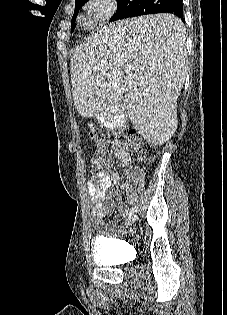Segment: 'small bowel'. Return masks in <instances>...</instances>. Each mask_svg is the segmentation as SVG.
Returning a JSON list of instances; mask_svg holds the SVG:
<instances>
[{
  "label": "small bowel",
  "mask_w": 227,
  "mask_h": 315,
  "mask_svg": "<svg viewBox=\"0 0 227 315\" xmlns=\"http://www.w3.org/2000/svg\"><path fill=\"white\" fill-rule=\"evenodd\" d=\"M114 155L120 169L111 175L106 170H101L91 174L87 180L88 194L91 199L90 214L97 223H102L112 212V196L116 195L119 198V211L125 214L126 207L121 200L120 191L116 189L112 194H107L106 191L113 185L117 184L122 175L134 174L132 158L130 154L119 144L115 146Z\"/></svg>",
  "instance_id": "small-bowel-1"
}]
</instances>
